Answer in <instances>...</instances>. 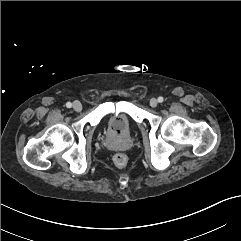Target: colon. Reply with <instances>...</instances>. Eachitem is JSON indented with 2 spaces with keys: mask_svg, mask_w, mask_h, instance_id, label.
<instances>
[{
  "mask_svg": "<svg viewBox=\"0 0 241 241\" xmlns=\"http://www.w3.org/2000/svg\"><path fill=\"white\" fill-rule=\"evenodd\" d=\"M113 161L116 166L123 167L127 164L128 158L123 153H117L114 155Z\"/></svg>",
  "mask_w": 241,
  "mask_h": 241,
  "instance_id": "obj_1",
  "label": "colon"
}]
</instances>
